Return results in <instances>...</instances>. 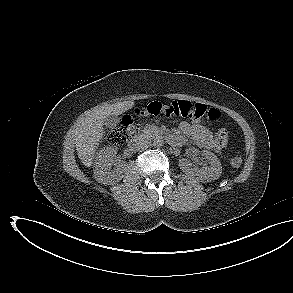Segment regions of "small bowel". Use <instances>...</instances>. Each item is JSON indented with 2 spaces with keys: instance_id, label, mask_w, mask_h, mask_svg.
<instances>
[{
  "instance_id": "1",
  "label": "small bowel",
  "mask_w": 293,
  "mask_h": 293,
  "mask_svg": "<svg viewBox=\"0 0 293 293\" xmlns=\"http://www.w3.org/2000/svg\"><path fill=\"white\" fill-rule=\"evenodd\" d=\"M180 130L183 134L193 139L200 147L220 151L211 132L199 123L182 121ZM180 140V137H177Z\"/></svg>"
}]
</instances>
